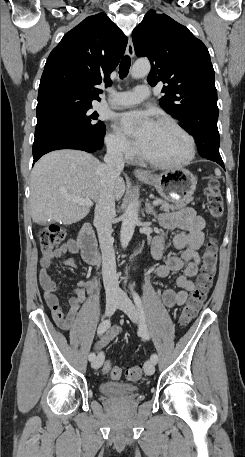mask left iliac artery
Returning <instances> with one entry per match:
<instances>
[{"instance_id":"left-iliac-artery-1","label":"left iliac artery","mask_w":245,"mask_h":457,"mask_svg":"<svg viewBox=\"0 0 245 457\" xmlns=\"http://www.w3.org/2000/svg\"><path fill=\"white\" fill-rule=\"evenodd\" d=\"M131 290V293H132V297H133V300H134V303L138 309V312L140 314V319H141V325H140V335L143 339L145 340H149V332H148V329H147V325H146V322H145V310H144V305H143V302L140 298V296L133 290V288L131 287L130 288ZM151 361L153 363H156L158 361V356L157 354H152L151 357H150Z\"/></svg>"}]
</instances>
